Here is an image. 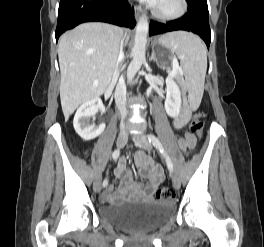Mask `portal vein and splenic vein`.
<instances>
[{"label": "portal vein and splenic vein", "instance_id": "18ae733b", "mask_svg": "<svg viewBox=\"0 0 264 247\" xmlns=\"http://www.w3.org/2000/svg\"><path fill=\"white\" fill-rule=\"evenodd\" d=\"M179 70H180L179 64L176 60H174L173 66H172V71H171V77L176 75Z\"/></svg>", "mask_w": 264, "mask_h": 247}]
</instances>
